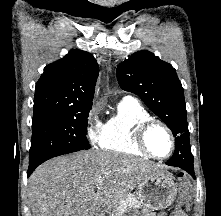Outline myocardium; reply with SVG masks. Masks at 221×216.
I'll use <instances>...</instances> for the list:
<instances>
[{
    "label": "myocardium",
    "instance_id": "1",
    "mask_svg": "<svg viewBox=\"0 0 221 216\" xmlns=\"http://www.w3.org/2000/svg\"><path fill=\"white\" fill-rule=\"evenodd\" d=\"M154 127H161L169 136L170 143H171V149L167 155L160 156L155 154L148 146L147 144V137L150 132V130ZM135 144L138 147L139 150H141L144 154L151 156L156 159H166L173 155L175 148H176V142L175 137L170 129V127L163 121L151 118L143 123H141L135 130Z\"/></svg>",
    "mask_w": 221,
    "mask_h": 216
}]
</instances>
